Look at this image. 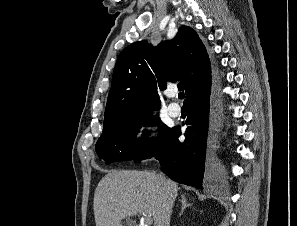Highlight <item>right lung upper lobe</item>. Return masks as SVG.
Segmentation results:
<instances>
[{
  "label": "right lung upper lobe",
  "instance_id": "1",
  "mask_svg": "<svg viewBox=\"0 0 297 226\" xmlns=\"http://www.w3.org/2000/svg\"><path fill=\"white\" fill-rule=\"evenodd\" d=\"M180 83L189 99L211 84V64L198 34L188 26L176 36L153 47L147 41L127 46L118 56L105 115L121 116L159 109L157 89L167 81Z\"/></svg>",
  "mask_w": 297,
  "mask_h": 226
}]
</instances>
